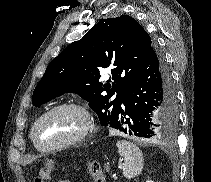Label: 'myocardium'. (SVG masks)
Instances as JSON below:
<instances>
[{
  "instance_id": "myocardium-1",
  "label": "myocardium",
  "mask_w": 211,
  "mask_h": 182,
  "mask_svg": "<svg viewBox=\"0 0 211 182\" xmlns=\"http://www.w3.org/2000/svg\"><path fill=\"white\" fill-rule=\"evenodd\" d=\"M61 109H73V110L78 111L84 117V120H85L84 127L77 135H75L65 141H62L60 143L50 145V146L39 145L36 140V137H35V131H36L37 126L45 117H47L51 113H53L57 110H61ZM93 127H94L93 117L90 114V112L87 110V108H85L84 106H82L78 103L65 102V103H60V104H57V105L51 107L50 109H48L47 111L42 113L35 120V122L32 125L31 131H30V138L37 149H39L41 151H51V150H56V149L65 147V146H70V145L80 143L81 141L85 140L90 135Z\"/></svg>"
}]
</instances>
